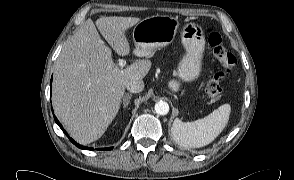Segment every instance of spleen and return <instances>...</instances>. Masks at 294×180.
Listing matches in <instances>:
<instances>
[{
	"instance_id": "obj_1",
	"label": "spleen",
	"mask_w": 294,
	"mask_h": 180,
	"mask_svg": "<svg viewBox=\"0 0 294 180\" xmlns=\"http://www.w3.org/2000/svg\"><path fill=\"white\" fill-rule=\"evenodd\" d=\"M231 107L224 104L202 119L194 122H182L176 118L171 133L180 146L200 148L210 144L225 128Z\"/></svg>"
}]
</instances>
